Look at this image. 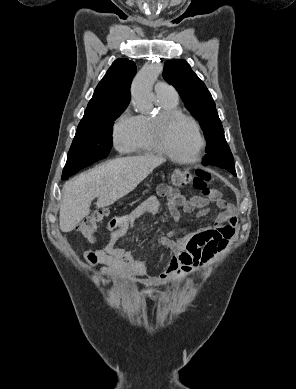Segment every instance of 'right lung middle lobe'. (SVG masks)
<instances>
[{
  "label": "right lung middle lobe",
  "instance_id": "1",
  "mask_svg": "<svg viewBox=\"0 0 296 389\" xmlns=\"http://www.w3.org/2000/svg\"><path fill=\"white\" fill-rule=\"evenodd\" d=\"M126 107L114 108L88 118L78 125L63 173L80 169L108 156L112 148L114 121Z\"/></svg>",
  "mask_w": 296,
  "mask_h": 389
}]
</instances>
